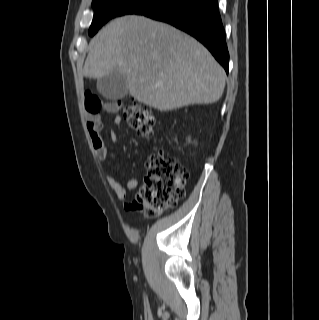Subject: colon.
<instances>
[{"instance_id": "5ec220e1", "label": "colon", "mask_w": 319, "mask_h": 320, "mask_svg": "<svg viewBox=\"0 0 319 320\" xmlns=\"http://www.w3.org/2000/svg\"><path fill=\"white\" fill-rule=\"evenodd\" d=\"M121 109L125 121L138 136L149 138L153 135L155 117L147 105L131 102L122 105ZM145 166L144 185L129 208L153 218L184 197L187 172L176 158L162 155L151 156Z\"/></svg>"}]
</instances>
